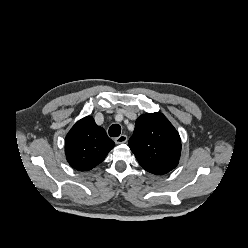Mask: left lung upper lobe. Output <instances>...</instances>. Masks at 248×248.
I'll use <instances>...</instances> for the list:
<instances>
[{
  "label": "left lung upper lobe",
  "mask_w": 248,
  "mask_h": 248,
  "mask_svg": "<svg viewBox=\"0 0 248 248\" xmlns=\"http://www.w3.org/2000/svg\"><path fill=\"white\" fill-rule=\"evenodd\" d=\"M129 147L139 164L155 175L174 169L181 154L179 133L160 112L144 114L136 120Z\"/></svg>",
  "instance_id": "5c2ea615"
}]
</instances>
